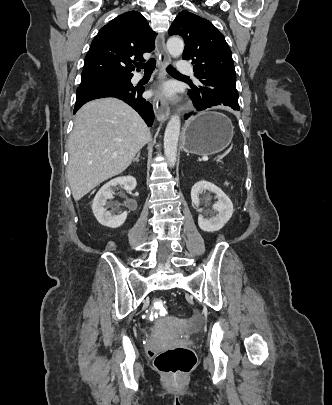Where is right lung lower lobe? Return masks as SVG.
<instances>
[{"instance_id": "right-lung-lower-lobe-1", "label": "right lung lower lobe", "mask_w": 332, "mask_h": 405, "mask_svg": "<svg viewBox=\"0 0 332 405\" xmlns=\"http://www.w3.org/2000/svg\"><path fill=\"white\" fill-rule=\"evenodd\" d=\"M144 87H134L130 82H93L85 85H79L76 91V103L74 114L86 102L104 98L116 97L135 109L140 116L145 120L148 126H151L154 119L152 105L142 97Z\"/></svg>"}]
</instances>
